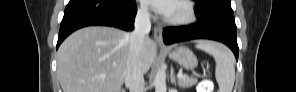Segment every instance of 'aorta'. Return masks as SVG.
Masks as SVG:
<instances>
[{
  "label": "aorta",
  "instance_id": "762f6f07",
  "mask_svg": "<svg viewBox=\"0 0 296 92\" xmlns=\"http://www.w3.org/2000/svg\"><path fill=\"white\" fill-rule=\"evenodd\" d=\"M155 92H166V72L164 68H160L154 79Z\"/></svg>",
  "mask_w": 296,
  "mask_h": 92
}]
</instances>
